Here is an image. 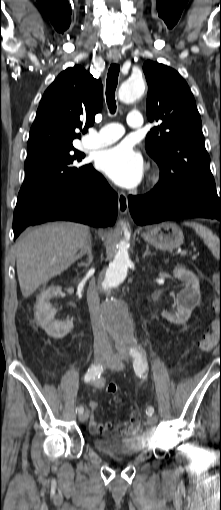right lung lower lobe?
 Here are the masks:
<instances>
[{
  "instance_id": "obj_1",
  "label": "right lung lower lobe",
  "mask_w": 221,
  "mask_h": 510,
  "mask_svg": "<svg viewBox=\"0 0 221 510\" xmlns=\"http://www.w3.org/2000/svg\"><path fill=\"white\" fill-rule=\"evenodd\" d=\"M118 195L91 164L73 184L43 196L21 217H13L14 238L28 226L69 220L91 226H112L116 221Z\"/></svg>"
}]
</instances>
